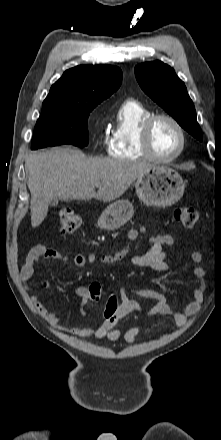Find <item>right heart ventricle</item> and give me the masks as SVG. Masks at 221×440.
Here are the masks:
<instances>
[{"label":"right heart ventricle","mask_w":221,"mask_h":440,"mask_svg":"<svg viewBox=\"0 0 221 440\" xmlns=\"http://www.w3.org/2000/svg\"><path fill=\"white\" fill-rule=\"evenodd\" d=\"M151 114L144 104L135 99L122 102L108 142L111 157L125 160L147 159L141 146L140 128Z\"/></svg>","instance_id":"e07e8e85"}]
</instances>
